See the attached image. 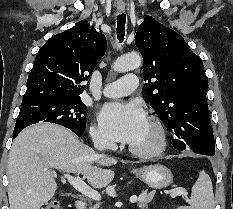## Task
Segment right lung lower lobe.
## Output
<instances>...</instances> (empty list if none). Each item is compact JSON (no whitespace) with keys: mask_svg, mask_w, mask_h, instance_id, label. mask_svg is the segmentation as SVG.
<instances>
[{"mask_svg":"<svg viewBox=\"0 0 233 209\" xmlns=\"http://www.w3.org/2000/svg\"><path fill=\"white\" fill-rule=\"evenodd\" d=\"M22 131V129L20 130H14L13 132V138H15L20 132ZM78 137H80L83 133L80 132H74Z\"/></svg>","mask_w":233,"mask_h":209,"instance_id":"1","label":"right lung lower lobe"}]
</instances>
